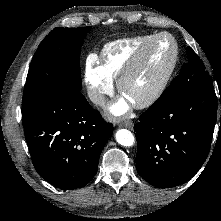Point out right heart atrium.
Returning <instances> with one entry per match:
<instances>
[{
    "mask_svg": "<svg viewBox=\"0 0 221 221\" xmlns=\"http://www.w3.org/2000/svg\"><path fill=\"white\" fill-rule=\"evenodd\" d=\"M84 79L90 100L98 106H103L107 96L112 94L114 86L93 56H89L86 60Z\"/></svg>",
    "mask_w": 221,
    "mask_h": 221,
    "instance_id": "d8ad5b80",
    "label": "right heart atrium"
}]
</instances>
